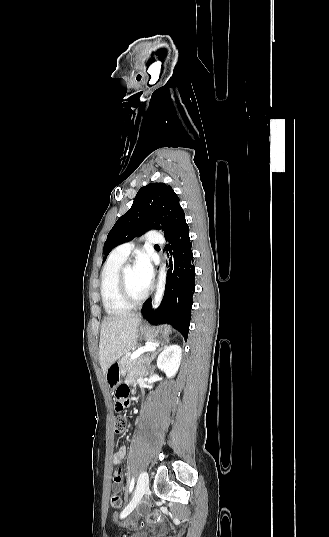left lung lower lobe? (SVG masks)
<instances>
[{
    "label": "left lung lower lobe",
    "instance_id": "left-lung-lower-lobe-1",
    "mask_svg": "<svg viewBox=\"0 0 329 537\" xmlns=\"http://www.w3.org/2000/svg\"><path fill=\"white\" fill-rule=\"evenodd\" d=\"M167 241L171 258L163 300L155 312L151 300L145 302L143 310L152 324H170L187 339L195 292V266L188 224L184 222Z\"/></svg>",
    "mask_w": 329,
    "mask_h": 537
}]
</instances>
